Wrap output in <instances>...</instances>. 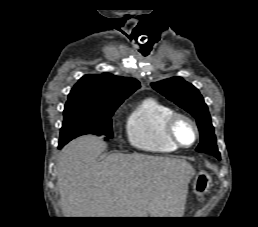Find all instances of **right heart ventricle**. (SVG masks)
<instances>
[{
  "label": "right heart ventricle",
  "mask_w": 258,
  "mask_h": 227,
  "mask_svg": "<svg viewBox=\"0 0 258 227\" xmlns=\"http://www.w3.org/2000/svg\"><path fill=\"white\" fill-rule=\"evenodd\" d=\"M174 111L153 97L141 100L131 111L127 120L130 144L141 151L167 154L178 147L165 134L164 123Z\"/></svg>",
  "instance_id": "e07e8e85"
}]
</instances>
